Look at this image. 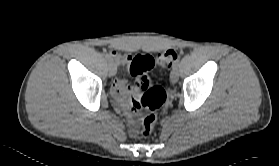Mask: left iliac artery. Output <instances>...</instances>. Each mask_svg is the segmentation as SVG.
<instances>
[{"label": "left iliac artery", "mask_w": 279, "mask_h": 166, "mask_svg": "<svg viewBox=\"0 0 279 166\" xmlns=\"http://www.w3.org/2000/svg\"><path fill=\"white\" fill-rule=\"evenodd\" d=\"M179 65V61H176L174 64H173V67H177Z\"/></svg>", "instance_id": "1"}]
</instances>
